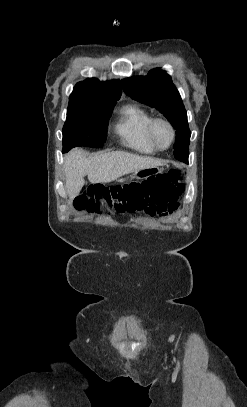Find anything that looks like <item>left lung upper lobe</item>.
Here are the masks:
<instances>
[{"instance_id": "5c2ea615", "label": "left lung upper lobe", "mask_w": 247, "mask_h": 407, "mask_svg": "<svg viewBox=\"0 0 247 407\" xmlns=\"http://www.w3.org/2000/svg\"><path fill=\"white\" fill-rule=\"evenodd\" d=\"M124 92L132 99L159 110L176 129L174 157L188 162L191 132L181 96L170 76L152 70L146 76H133L121 81Z\"/></svg>"}]
</instances>
